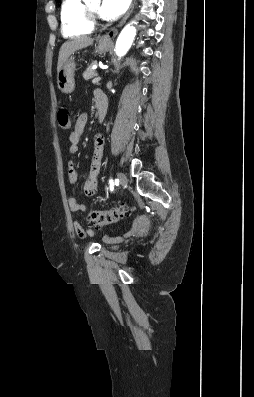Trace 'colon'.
I'll list each match as a JSON object with an SVG mask.
<instances>
[{"instance_id":"1","label":"colon","mask_w":254,"mask_h":397,"mask_svg":"<svg viewBox=\"0 0 254 397\" xmlns=\"http://www.w3.org/2000/svg\"><path fill=\"white\" fill-rule=\"evenodd\" d=\"M57 121L62 130L70 129V116L66 108H61L59 110ZM132 211L133 209L127 205H120L103 211L93 210L89 212L87 220L89 223L99 226L111 225L129 215Z\"/></svg>"}]
</instances>
